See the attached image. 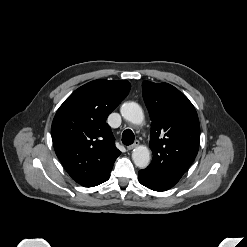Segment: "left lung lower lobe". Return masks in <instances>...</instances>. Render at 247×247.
<instances>
[{
    "instance_id": "1",
    "label": "left lung lower lobe",
    "mask_w": 247,
    "mask_h": 247,
    "mask_svg": "<svg viewBox=\"0 0 247 247\" xmlns=\"http://www.w3.org/2000/svg\"><path fill=\"white\" fill-rule=\"evenodd\" d=\"M139 182L146 186L147 188L154 190V191H165L172 188L174 185L168 183L167 181L163 180L162 178L146 171L140 170L138 173Z\"/></svg>"
}]
</instances>
